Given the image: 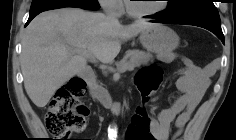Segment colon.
Returning <instances> with one entry per match:
<instances>
[{
	"mask_svg": "<svg viewBox=\"0 0 236 140\" xmlns=\"http://www.w3.org/2000/svg\"><path fill=\"white\" fill-rule=\"evenodd\" d=\"M161 75V69L156 65L143 68L138 73L136 85L141 95V103L131 116L125 140H154L148 105L158 91ZM85 94L86 84L78 77L71 78L56 91L45 115L46 127L58 138L56 140H68L66 138L70 134L85 128L88 116V109L83 102Z\"/></svg>",
	"mask_w": 236,
	"mask_h": 140,
	"instance_id": "colon-1",
	"label": "colon"
}]
</instances>
